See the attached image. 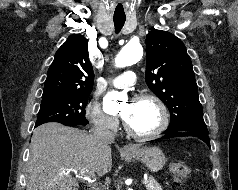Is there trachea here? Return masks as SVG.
I'll return each instance as SVG.
<instances>
[{
	"label": "trachea",
	"mask_w": 238,
	"mask_h": 190,
	"mask_svg": "<svg viewBox=\"0 0 238 190\" xmlns=\"http://www.w3.org/2000/svg\"><path fill=\"white\" fill-rule=\"evenodd\" d=\"M126 19L125 18H114V25L116 33H119L122 27L124 26Z\"/></svg>",
	"instance_id": "obj_1"
}]
</instances>
